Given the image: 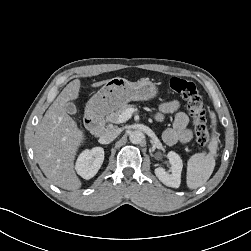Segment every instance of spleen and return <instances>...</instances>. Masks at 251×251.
Listing matches in <instances>:
<instances>
[{
  "label": "spleen",
  "instance_id": "1",
  "mask_svg": "<svg viewBox=\"0 0 251 251\" xmlns=\"http://www.w3.org/2000/svg\"><path fill=\"white\" fill-rule=\"evenodd\" d=\"M213 124V135L212 140L209 143L208 154L197 153L191 156L187 164V186L190 189H197L204 185L207 180L210 178L214 167L215 159L217 156V148L219 139L215 131L216 126V116L213 112L210 113Z\"/></svg>",
  "mask_w": 251,
  "mask_h": 251
}]
</instances>
